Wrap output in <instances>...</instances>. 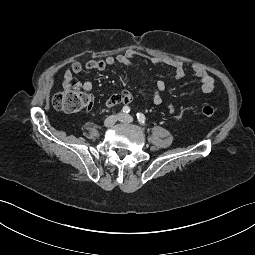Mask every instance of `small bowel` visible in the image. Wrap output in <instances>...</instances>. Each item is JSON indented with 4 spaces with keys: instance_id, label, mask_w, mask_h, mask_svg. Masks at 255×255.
<instances>
[{
    "instance_id": "small-bowel-1",
    "label": "small bowel",
    "mask_w": 255,
    "mask_h": 255,
    "mask_svg": "<svg viewBox=\"0 0 255 255\" xmlns=\"http://www.w3.org/2000/svg\"><path fill=\"white\" fill-rule=\"evenodd\" d=\"M141 56L149 60L154 65H164L173 70L174 75L177 79H181L185 75V70L183 63L178 60H161L159 58L151 57L150 55L137 50L129 49L125 53L118 54L116 56H109L103 60H91L84 65L78 61L71 64V67L65 71V79H71L73 74H79L83 70H96L104 71L109 66L116 64H121L125 66H134L135 57ZM194 75L199 79L201 84V89L204 93H210L214 90V79L205 69L195 66L192 69ZM84 91L90 93L93 90V83L91 81H86L83 84ZM166 89V84L162 79H156L154 83V88L152 91V102L155 105H160L163 102V93ZM133 101V96L127 88H122L120 93L114 94L109 97L105 103L107 108H113L118 104H130ZM169 113H174L176 107L174 104L169 103L167 105Z\"/></svg>"
}]
</instances>
